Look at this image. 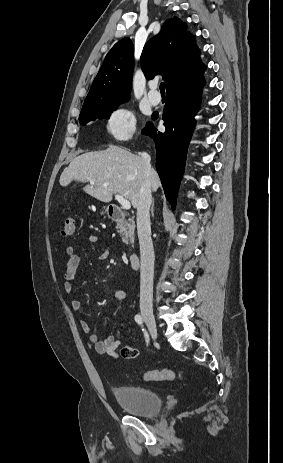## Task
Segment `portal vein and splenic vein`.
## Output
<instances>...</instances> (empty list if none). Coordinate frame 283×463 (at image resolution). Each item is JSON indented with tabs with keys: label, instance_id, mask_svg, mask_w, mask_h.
Instances as JSON below:
<instances>
[{
	"label": "portal vein and splenic vein",
	"instance_id": "18ae733b",
	"mask_svg": "<svg viewBox=\"0 0 283 463\" xmlns=\"http://www.w3.org/2000/svg\"><path fill=\"white\" fill-rule=\"evenodd\" d=\"M95 182L94 179H91L90 180V183L93 184ZM115 199L121 204L122 208L128 210L131 208V204L129 202V200H127L126 198H124L122 195L120 194H115Z\"/></svg>",
	"mask_w": 283,
	"mask_h": 463
}]
</instances>
